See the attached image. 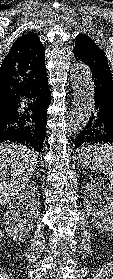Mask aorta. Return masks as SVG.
Here are the masks:
<instances>
[{"mask_svg": "<svg viewBox=\"0 0 113 279\" xmlns=\"http://www.w3.org/2000/svg\"><path fill=\"white\" fill-rule=\"evenodd\" d=\"M73 89V110L68 134H78L87 125L94 110V83L88 66L81 62L73 63L70 71Z\"/></svg>", "mask_w": 113, "mask_h": 279, "instance_id": "762f6f07", "label": "aorta"}]
</instances>
